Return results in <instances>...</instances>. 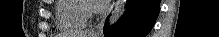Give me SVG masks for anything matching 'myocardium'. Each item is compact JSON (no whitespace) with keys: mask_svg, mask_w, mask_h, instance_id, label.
I'll return each mask as SVG.
<instances>
[{"mask_svg":"<svg viewBox=\"0 0 219 37\" xmlns=\"http://www.w3.org/2000/svg\"><path fill=\"white\" fill-rule=\"evenodd\" d=\"M86 11L90 17H95L101 13L102 9L97 8L93 1H87L86 2Z\"/></svg>","mask_w":219,"mask_h":37,"instance_id":"myocardium-1","label":"myocardium"}]
</instances>
